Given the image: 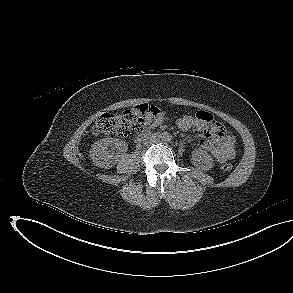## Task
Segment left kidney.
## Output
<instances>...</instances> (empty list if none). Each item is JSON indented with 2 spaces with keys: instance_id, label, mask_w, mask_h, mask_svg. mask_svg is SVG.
Masks as SVG:
<instances>
[{
  "instance_id": "1",
  "label": "left kidney",
  "mask_w": 293,
  "mask_h": 293,
  "mask_svg": "<svg viewBox=\"0 0 293 293\" xmlns=\"http://www.w3.org/2000/svg\"><path fill=\"white\" fill-rule=\"evenodd\" d=\"M191 160L195 167L203 171H208L214 166L213 158L203 150L193 152Z\"/></svg>"
}]
</instances>
